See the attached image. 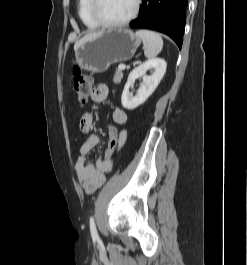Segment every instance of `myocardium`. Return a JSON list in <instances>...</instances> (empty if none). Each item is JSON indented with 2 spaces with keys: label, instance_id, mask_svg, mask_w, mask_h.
I'll use <instances>...</instances> for the list:
<instances>
[{
  "label": "myocardium",
  "instance_id": "myocardium-1",
  "mask_svg": "<svg viewBox=\"0 0 247 265\" xmlns=\"http://www.w3.org/2000/svg\"><path fill=\"white\" fill-rule=\"evenodd\" d=\"M99 2L100 0H91L90 13L94 21L103 28H119V27H123V26L130 24L132 21H134L137 18L140 12L141 4H142V0H135L134 9L127 18L121 21H117V22H109V21L104 20L100 16L98 12Z\"/></svg>",
  "mask_w": 247,
  "mask_h": 265
}]
</instances>
